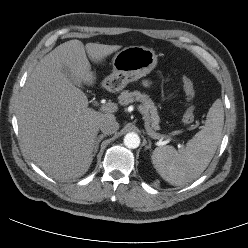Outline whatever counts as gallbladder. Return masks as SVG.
<instances>
[{
	"label": "gallbladder",
	"mask_w": 248,
	"mask_h": 248,
	"mask_svg": "<svg viewBox=\"0 0 248 248\" xmlns=\"http://www.w3.org/2000/svg\"><path fill=\"white\" fill-rule=\"evenodd\" d=\"M62 72L65 74V76L69 79L70 82H72L73 84L77 86H82L81 82L77 80L76 78H74L66 67L62 69Z\"/></svg>",
	"instance_id": "1"
}]
</instances>
